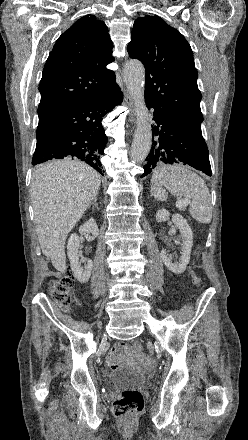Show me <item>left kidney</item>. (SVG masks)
Returning a JSON list of instances; mask_svg holds the SVG:
<instances>
[{
    "mask_svg": "<svg viewBox=\"0 0 248 440\" xmlns=\"http://www.w3.org/2000/svg\"><path fill=\"white\" fill-rule=\"evenodd\" d=\"M169 216L170 213L167 210L162 209L156 213V220L160 222L166 221L169 219ZM172 221L175 227L179 229L182 237V252L179 262L173 263L172 257L168 255L165 250L161 251L160 256L165 266L171 272L175 274H181L185 271L186 266L190 261V253H191V248L193 246V233L186 219L182 217L180 214H173Z\"/></svg>",
    "mask_w": 248,
    "mask_h": 440,
    "instance_id": "obj_1",
    "label": "left kidney"
}]
</instances>
